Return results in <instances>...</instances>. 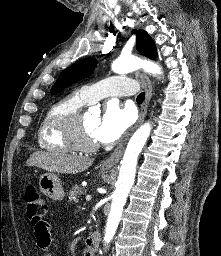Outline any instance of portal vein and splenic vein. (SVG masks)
Wrapping results in <instances>:
<instances>
[{
    "label": "portal vein and splenic vein",
    "instance_id": "1",
    "mask_svg": "<svg viewBox=\"0 0 221 256\" xmlns=\"http://www.w3.org/2000/svg\"><path fill=\"white\" fill-rule=\"evenodd\" d=\"M91 200V195H86V201H90Z\"/></svg>",
    "mask_w": 221,
    "mask_h": 256
}]
</instances>
